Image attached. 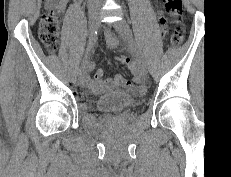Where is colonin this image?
I'll use <instances>...</instances> for the list:
<instances>
[{"label":"colon","mask_w":231,"mask_h":177,"mask_svg":"<svg viewBox=\"0 0 231 177\" xmlns=\"http://www.w3.org/2000/svg\"><path fill=\"white\" fill-rule=\"evenodd\" d=\"M47 3L53 4L56 0H45ZM167 13L175 18V24L171 34V43L174 46L179 45L184 37V28L181 22L182 1L181 0H164ZM162 25L166 24L163 16L159 19ZM39 37L44 47L49 53L56 51L59 44V17L53 10L46 12L39 24ZM116 59L122 64L129 65L130 59L125 56H118Z\"/></svg>","instance_id":"1"}]
</instances>
